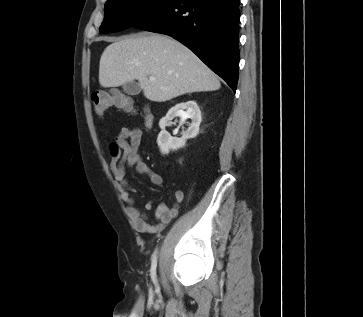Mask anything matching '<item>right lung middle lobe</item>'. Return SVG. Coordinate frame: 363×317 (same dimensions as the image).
<instances>
[{"mask_svg":"<svg viewBox=\"0 0 363 317\" xmlns=\"http://www.w3.org/2000/svg\"><path fill=\"white\" fill-rule=\"evenodd\" d=\"M177 0H108L100 32H118L166 10Z\"/></svg>","mask_w":363,"mask_h":317,"instance_id":"obj_1","label":"right lung middle lobe"}]
</instances>
